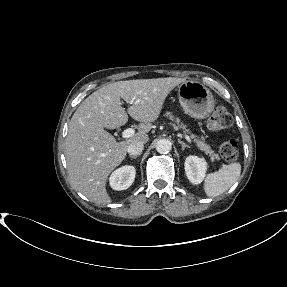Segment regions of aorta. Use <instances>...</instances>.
<instances>
[{
    "label": "aorta",
    "mask_w": 287,
    "mask_h": 287,
    "mask_svg": "<svg viewBox=\"0 0 287 287\" xmlns=\"http://www.w3.org/2000/svg\"><path fill=\"white\" fill-rule=\"evenodd\" d=\"M171 142L167 139H160L156 143V150L160 154H167L171 151Z\"/></svg>",
    "instance_id": "aorta-1"
}]
</instances>
